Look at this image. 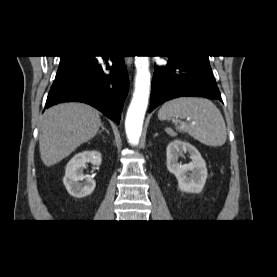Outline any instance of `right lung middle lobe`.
Masks as SVG:
<instances>
[{"instance_id":"right-lung-middle-lobe-1","label":"right lung middle lobe","mask_w":277,"mask_h":277,"mask_svg":"<svg viewBox=\"0 0 277 277\" xmlns=\"http://www.w3.org/2000/svg\"><path fill=\"white\" fill-rule=\"evenodd\" d=\"M89 58L90 56L87 55L61 56L60 65L56 74V79L62 77L66 73L84 64Z\"/></svg>"}]
</instances>
